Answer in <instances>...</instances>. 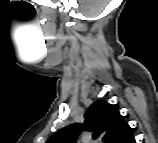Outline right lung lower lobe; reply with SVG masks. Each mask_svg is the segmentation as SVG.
<instances>
[{"mask_svg": "<svg viewBox=\"0 0 158 143\" xmlns=\"http://www.w3.org/2000/svg\"><path fill=\"white\" fill-rule=\"evenodd\" d=\"M129 143H135V140H134V138L129 142Z\"/></svg>", "mask_w": 158, "mask_h": 143, "instance_id": "right-lung-lower-lobe-1", "label": "right lung lower lobe"}]
</instances>
